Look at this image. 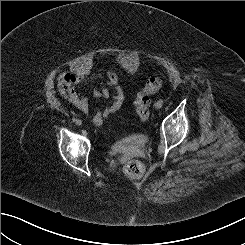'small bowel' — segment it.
<instances>
[{
  "instance_id": "small-bowel-1",
  "label": "small bowel",
  "mask_w": 245,
  "mask_h": 245,
  "mask_svg": "<svg viewBox=\"0 0 245 245\" xmlns=\"http://www.w3.org/2000/svg\"><path fill=\"white\" fill-rule=\"evenodd\" d=\"M91 81L100 83V86L95 87L91 92L94 98L110 99V102L102 109L96 110L90 119L92 125L99 126L105 119L116 113L125 100V93L119 84L117 72L111 70L106 74L89 75L65 71L59 75L58 90L70 104L82 113L88 114L91 110L89 99L82 95L76 87Z\"/></svg>"
}]
</instances>
